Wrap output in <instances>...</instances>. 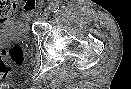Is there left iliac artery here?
Returning <instances> with one entry per match:
<instances>
[{
	"mask_svg": "<svg viewBox=\"0 0 131 89\" xmlns=\"http://www.w3.org/2000/svg\"><path fill=\"white\" fill-rule=\"evenodd\" d=\"M49 9L52 11V12H57L59 10V5L55 2L53 3H50L49 5Z\"/></svg>",
	"mask_w": 131,
	"mask_h": 89,
	"instance_id": "left-iliac-artery-1",
	"label": "left iliac artery"
}]
</instances>
